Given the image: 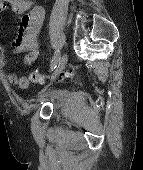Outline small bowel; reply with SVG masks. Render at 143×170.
Returning a JSON list of instances; mask_svg holds the SVG:
<instances>
[{
	"label": "small bowel",
	"instance_id": "small-bowel-1",
	"mask_svg": "<svg viewBox=\"0 0 143 170\" xmlns=\"http://www.w3.org/2000/svg\"><path fill=\"white\" fill-rule=\"evenodd\" d=\"M8 10L22 16L12 41L14 52L24 54L23 63L31 65L39 56L37 37L43 24L45 10L42 6L32 5L28 0H2L0 12ZM6 62V57L0 45V68H3ZM5 78L9 84L17 85L22 89L29 85L26 77H18L15 73H7Z\"/></svg>",
	"mask_w": 143,
	"mask_h": 170
}]
</instances>
